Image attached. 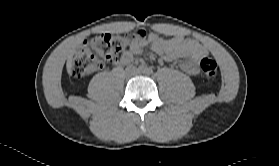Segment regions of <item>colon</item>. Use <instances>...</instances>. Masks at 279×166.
Here are the masks:
<instances>
[{"mask_svg": "<svg viewBox=\"0 0 279 166\" xmlns=\"http://www.w3.org/2000/svg\"><path fill=\"white\" fill-rule=\"evenodd\" d=\"M145 31L117 34L105 33L86 40L76 50L71 61L70 70L73 76L81 78L102 68L105 61L117 62L125 57L131 46L147 38ZM202 73L214 77L218 65L213 58L205 57L200 61Z\"/></svg>", "mask_w": 279, "mask_h": 166, "instance_id": "1", "label": "colon"}]
</instances>
